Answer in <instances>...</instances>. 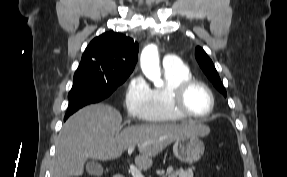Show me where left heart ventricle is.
I'll return each mask as SVG.
<instances>
[{"label":"left heart ventricle","instance_id":"left-heart-ventricle-1","mask_svg":"<svg viewBox=\"0 0 287 177\" xmlns=\"http://www.w3.org/2000/svg\"><path fill=\"white\" fill-rule=\"evenodd\" d=\"M186 108L195 115H205L211 105L209 94L200 86L192 87L185 98Z\"/></svg>","mask_w":287,"mask_h":177}]
</instances>
